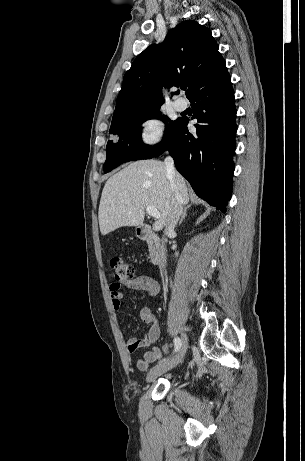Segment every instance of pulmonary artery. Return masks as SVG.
Returning a JSON list of instances; mask_svg holds the SVG:
<instances>
[{"label":"pulmonary artery","instance_id":"1","mask_svg":"<svg viewBox=\"0 0 305 461\" xmlns=\"http://www.w3.org/2000/svg\"><path fill=\"white\" fill-rule=\"evenodd\" d=\"M187 101L184 99V98H177L175 99L174 101V108L177 110V111H184L186 108H187Z\"/></svg>","mask_w":305,"mask_h":461}]
</instances>
